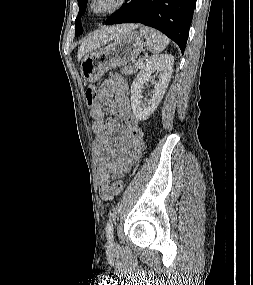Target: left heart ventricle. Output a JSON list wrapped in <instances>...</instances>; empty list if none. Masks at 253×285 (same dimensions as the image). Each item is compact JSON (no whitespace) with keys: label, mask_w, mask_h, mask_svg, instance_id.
<instances>
[{"label":"left heart ventricle","mask_w":253,"mask_h":285,"mask_svg":"<svg viewBox=\"0 0 253 285\" xmlns=\"http://www.w3.org/2000/svg\"><path fill=\"white\" fill-rule=\"evenodd\" d=\"M115 0H98L97 4H96V8L98 9H103V8H107L110 7L114 4Z\"/></svg>","instance_id":"obj_1"}]
</instances>
